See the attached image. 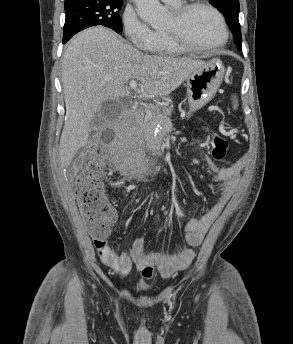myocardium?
<instances>
[{
	"mask_svg": "<svg viewBox=\"0 0 293 344\" xmlns=\"http://www.w3.org/2000/svg\"><path fill=\"white\" fill-rule=\"evenodd\" d=\"M205 8L209 10L218 20L219 25L222 31V38L215 44L209 46H197L189 42L185 36L182 34L179 28H175L173 30H166L164 33L168 36V38L177 46L184 49L185 51L196 52V53H206L218 50L219 48L223 47L228 39H229V30L224 18V15L217 9L215 6L206 2L204 0H191L190 2L178 5L173 8L172 14L177 21L180 23L184 16L194 8Z\"/></svg>",
	"mask_w": 293,
	"mask_h": 344,
	"instance_id": "obj_1",
	"label": "myocardium"
}]
</instances>
